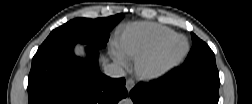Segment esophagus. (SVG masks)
<instances>
[{"label":"esophagus","mask_w":252,"mask_h":104,"mask_svg":"<svg viewBox=\"0 0 252 104\" xmlns=\"http://www.w3.org/2000/svg\"><path fill=\"white\" fill-rule=\"evenodd\" d=\"M135 86V81L133 79L126 80V89L130 91Z\"/></svg>","instance_id":"34e87169"}]
</instances>
